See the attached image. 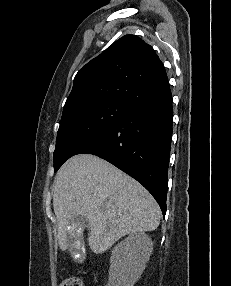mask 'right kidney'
Here are the masks:
<instances>
[{"mask_svg": "<svg viewBox=\"0 0 231 286\" xmlns=\"http://www.w3.org/2000/svg\"><path fill=\"white\" fill-rule=\"evenodd\" d=\"M153 242L144 232L129 235L111 255L107 286H134L145 269Z\"/></svg>", "mask_w": 231, "mask_h": 286, "instance_id": "1", "label": "right kidney"}]
</instances>
